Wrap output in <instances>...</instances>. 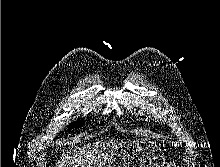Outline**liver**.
<instances>
[{"instance_id":"1","label":"liver","mask_w":220,"mask_h":167,"mask_svg":"<svg viewBox=\"0 0 220 167\" xmlns=\"http://www.w3.org/2000/svg\"><path fill=\"white\" fill-rule=\"evenodd\" d=\"M123 144L110 140L69 150L60 157L56 167H109L116 150Z\"/></svg>"}]
</instances>
